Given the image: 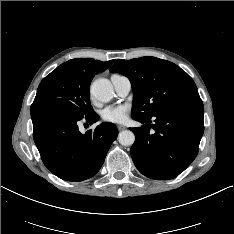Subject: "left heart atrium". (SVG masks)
<instances>
[{
  "instance_id": "1",
  "label": "left heart atrium",
  "mask_w": 234,
  "mask_h": 234,
  "mask_svg": "<svg viewBox=\"0 0 234 234\" xmlns=\"http://www.w3.org/2000/svg\"><path fill=\"white\" fill-rule=\"evenodd\" d=\"M129 108L127 105H111L101 111L103 121L108 123H124L128 119Z\"/></svg>"
}]
</instances>
